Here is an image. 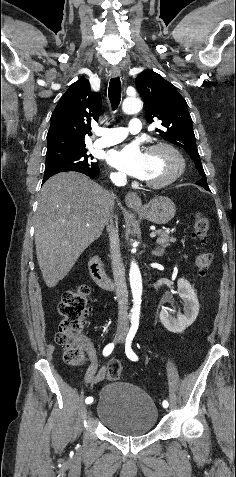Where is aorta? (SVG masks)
Masks as SVG:
<instances>
[{"instance_id":"aorta-1","label":"aorta","mask_w":236,"mask_h":477,"mask_svg":"<svg viewBox=\"0 0 236 477\" xmlns=\"http://www.w3.org/2000/svg\"><path fill=\"white\" fill-rule=\"evenodd\" d=\"M142 109V102L135 97H127L122 103V110L126 114H135ZM130 286L133 297L132 319L138 320L142 302V277L138 265L135 261L131 262L129 271Z\"/></svg>"}]
</instances>
